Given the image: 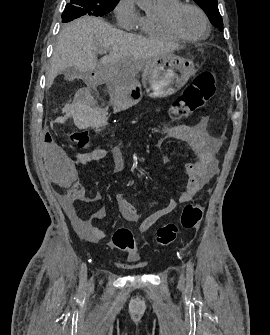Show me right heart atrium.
<instances>
[{
	"mask_svg": "<svg viewBox=\"0 0 270 335\" xmlns=\"http://www.w3.org/2000/svg\"><path fill=\"white\" fill-rule=\"evenodd\" d=\"M118 25L130 30L137 26L140 14L136 8V0H119L115 8Z\"/></svg>",
	"mask_w": 270,
	"mask_h": 335,
	"instance_id": "obj_1",
	"label": "right heart atrium"
}]
</instances>
